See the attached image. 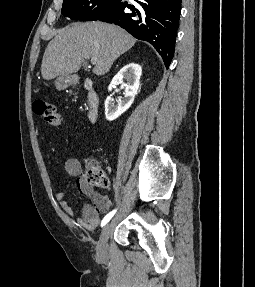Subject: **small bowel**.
Wrapping results in <instances>:
<instances>
[{
    "label": "small bowel",
    "mask_w": 255,
    "mask_h": 287,
    "mask_svg": "<svg viewBox=\"0 0 255 287\" xmlns=\"http://www.w3.org/2000/svg\"><path fill=\"white\" fill-rule=\"evenodd\" d=\"M64 172L67 177L76 179V185L81 193L92 199V205H85L82 209L81 216L75 219L74 212L66 200V193L58 192L55 198L65 220L88 231H95L100 224V214L106 213L109 209L108 200L92 190L86 183L82 174V165L78 159L69 158L65 162Z\"/></svg>",
    "instance_id": "obj_1"
}]
</instances>
